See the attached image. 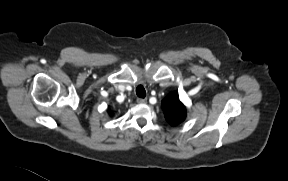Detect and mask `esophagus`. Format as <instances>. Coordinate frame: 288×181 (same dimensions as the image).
<instances>
[{
  "instance_id": "1",
  "label": "esophagus",
  "mask_w": 288,
  "mask_h": 181,
  "mask_svg": "<svg viewBox=\"0 0 288 181\" xmlns=\"http://www.w3.org/2000/svg\"><path fill=\"white\" fill-rule=\"evenodd\" d=\"M146 102H147L146 98H138L137 99V103H139V104H145Z\"/></svg>"
}]
</instances>
